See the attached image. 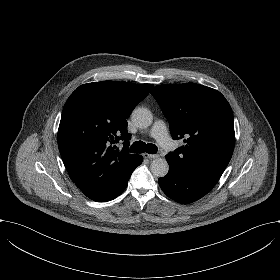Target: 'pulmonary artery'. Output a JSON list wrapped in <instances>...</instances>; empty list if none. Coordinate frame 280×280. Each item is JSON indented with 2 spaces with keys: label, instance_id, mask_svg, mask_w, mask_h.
<instances>
[{
  "label": "pulmonary artery",
  "instance_id": "1",
  "mask_svg": "<svg viewBox=\"0 0 280 280\" xmlns=\"http://www.w3.org/2000/svg\"><path fill=\"white\" fill-rule=\"evenodd\" d=\"M150 135L157 140L165 150H172L176 146L168 135L166 124L163 120H157L151 128Z\"/></svg>",
  "mask_w": 280,
  "mask_h": 280
}]
</instances>
